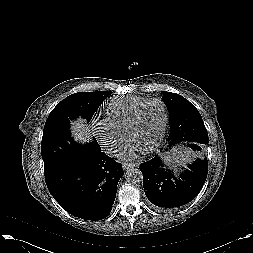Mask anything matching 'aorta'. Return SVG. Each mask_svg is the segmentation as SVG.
Masks as SVG:
<instances>
[{
  "mask_svg": "<svg viewBox=\"0 0 253 253\" xmlns=\"http://www.w3.org/2000/svg\"><path fill=\"white\" fill-rule=\"evenodd\" d=\"M142 178V172L138 168H131L125 173V179L130 184L140 183Z\"/></svg>",
  "mask_w": 253,
  "mask_h": 253,
  "instance_id": "762f6f07",
  "label": "aorta"
}]
</instances>
